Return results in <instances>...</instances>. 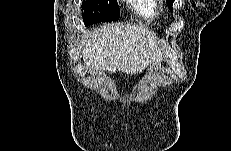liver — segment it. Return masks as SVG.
<instances>
[{
    "label": "liver",
    "mask_w": 231,
    "mask_h": 151,
    "mask_svg": "<svg viewBox=\"0 0 231 151\" xmlns=\"http://www.w3.org/2000/svg\"><path fill=\"white\" fill-rule=\"evenodd\" d=\"M87 69L126 74L158 65L161 52L154 32L142 25H104L86 34L82 48Z\"/></svg>",
    "instance_id": "liver-1"
}]
</instances>
